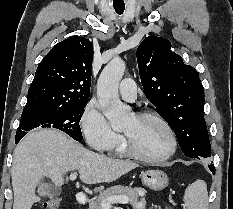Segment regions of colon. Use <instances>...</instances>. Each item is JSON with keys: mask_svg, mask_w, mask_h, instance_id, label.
Here are the masks:
<instances>
[{"mask_svg": "<svg viewBox=\"0 0 233 209\" xmlns=\"http://www.w3.org/2000/svg\"><path fill=\"white\" fill-rule=\"evenodd\" d=\"M44 209H60V199L53 198L43 203Z\"/></svg>", "mask_w": 233, "mask_h": 209, "instance_id": "5ec220e1", "label": "colon"}]
</instances>
